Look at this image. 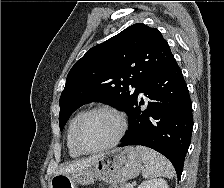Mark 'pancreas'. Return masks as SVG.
Instances as JSON below:
<instances>
[{"instance_id":"cf45deb5","label":"pancreas","mask_w":224,"mask_h":188,"mask_svg":"<svg viewBox=\"0 0 224 188\" xmlns=\"http://www.w3.org/2000/svg\"><path fill=\"white\" fill-rule=\"evenodd\" d=\"M126 185L127 184L123 182V183H119V186L112 184L109 186V188H126Z\"/></svg>"}]
</instances>
